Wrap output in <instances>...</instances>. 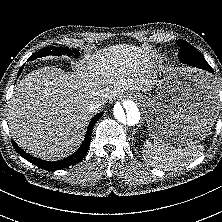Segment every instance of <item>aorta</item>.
Masks as SVG:
<instances>
[{
    "label": "aorta",
    "instance_id": "1",
    "mask_svg": "<svg viewBox=\"0 0 222 222\" xmlns=\"http://www.w3.org/2000/svg\"><path fill=\"white\" fill-rule=\"evenodd\" d=\"M113 115L122 126H135L141 119L140 108L133 100H125L122 104L116 103L113 107Z\"/></svg>",
    "mask_w": 222,
    "mask_h": 222
}]
</instances>
